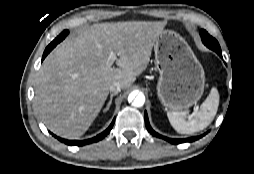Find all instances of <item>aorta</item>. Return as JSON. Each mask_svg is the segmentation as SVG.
<instances>
[{
    "label": "aorta",
    "instance_id": "762f6f07",
    "mask_svg": "<svg viewBox=\"0 0 254 174\" xmlns=\"http://www.w3.org/2000/svg\"><path fill=\"white\" fill-rule=\"evenodd\" d=\"M128 101L131 102L134 107H142L145 103V96L141 92H132L128 96Z\"/></svg>",
    "mask_w": 254,
    "mask_h": 174
}]
</instances>
